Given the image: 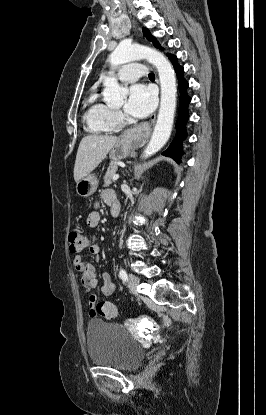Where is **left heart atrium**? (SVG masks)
<instances>
[{"instance_id": "39dd6f15", "label": "left heart atrium", "mask_w": 266, "mask_h": 415, "mask_svg": "<svg viewBox=\"0 0 266 415\" xmlns=\"http://www.w3.org/2000/svg\"><path fill=\"white\" fill-rule=\"evenodd\" d=\"M155 105L156 97L153 90L144 84H134L129 89L124 110L129 116L143 118L153 111Z\"/></svg>"}]
</instances>
